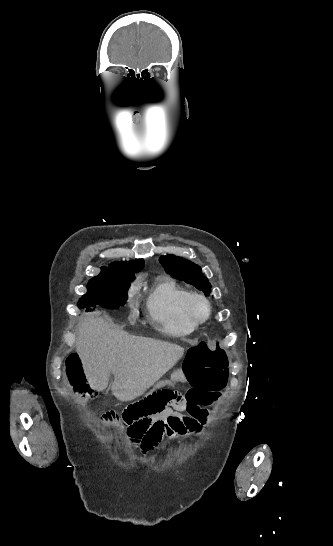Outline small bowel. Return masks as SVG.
I'll list each match as a JSON object with an SVG mask.
<instances>
[{
	"instance_id": "small-bowel-1",
	"label": "small bowel",
	"mask_w": 333,
	"mask_h": 546,
	"mask_svg": "<svg viewBox=\"0 0 333 546\" xmlns=\"http://www.w3.org/2000/svg\"><path fill=\"white\" fill-rule=\"evenodd\" d=\"M173 374L174 380L185 381L189 373L186 370H175ZM174 384L170 379L159 378L155 382L156 387L150 386L147 390L150 393H157L160 389L170 388ZM201 398L203 400L201 402L181 404L183 410L188 413L187 416L166 408L155 418H147L146 422H135L134 418H128L125 425L130 445L146 454L152 451L163 437L178 440L200 434L208 419L207 406L218 401L221 393L220 391L204 392Z\"/></svg>"
}]
</instances>
